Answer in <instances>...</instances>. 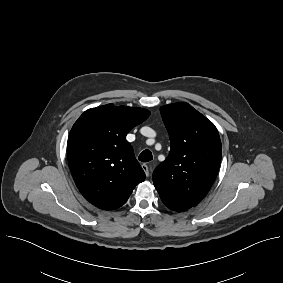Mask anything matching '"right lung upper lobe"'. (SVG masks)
<instances>
[{
    "mask_svg": "<svg viewBox=\"0 0 283 283\" xmlns=\"http://www.w3.org/2000/svg\"><path fill=\"white\" fill-rule=\"evenodd\" d=\"M149 115L143 108L107 104L88 109L74 123L67 143L69 167L91 204L119 208L145 180L126 135Z\"/></svg>",
    "mask_w": 283,
    "mask_h": 283,
    "instance_id": "1",
    "label": "right lung upper lobe"
}]
</instances>
